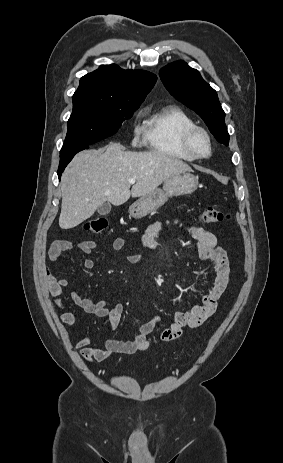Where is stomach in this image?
<instances>
[{"label": "stomach", "instance_id": "0dacf381", "mask_svg": "<svg viewBox=\"0 0 283 463\" xmlns=\"http://www.w3.org/2000/svg\"><path fill=\"white\" fill-rule=\"evenodd\" d=\"M198 186V178L191 173L175 175L164 181L162 188L140 197L129 208L130 216L143 218L160 208L169 197L185 195L194 192Z\"/></svg>", "mask_w": 283, "mask_h": 463}]
</instances>
